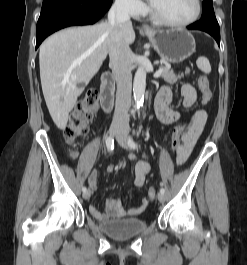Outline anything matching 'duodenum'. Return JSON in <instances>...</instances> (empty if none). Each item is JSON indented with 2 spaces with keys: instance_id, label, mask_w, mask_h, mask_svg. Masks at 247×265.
Instances as JSON below:
<instances>
[{
  "instance_id": "obj_1",
  "label": "duodenum",
  "mask_w": 247,
  "mask_h": 265,
  "mask_svg": "<svg viewBox=\"0 0 247 265\" xmlns=\"http://www.w3.org/2000/svg\"><path fill=\"white\" fill-rule=\"evenodd\" d=\"M114 97V78L106 73L101 78V106L105 112L111 111Z\"/></svg>"
}]
</instances>
